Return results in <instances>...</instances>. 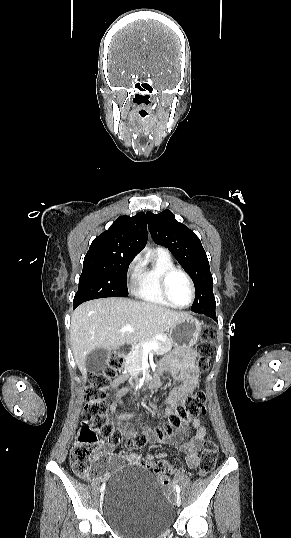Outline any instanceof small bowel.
Returning <instances> with one entry per match:
<instances>
[{"mask_svg":"<svg viewBox=\"0 0 291 538\" xmlns=\"http://www.w3.org/2000/svg\"><path fill=\"white\" fill-rule=\"evenodd\" d=\"M193 354L190 351H184L170 355L164 367L171 373L176 379L180 381V385L171 389L167 397L165 398V408L163 414L170 415L181 400L187 395L192 393L198 385V372L193 365ZM127 375H121L116 378L112 383V389H114L112 396V403L110 411L113 418L118 423V430L123 439L128 438L133 431V427L128 423L130 414L119 412V407L123 406V397L127 393L126 388H119V386L125 382ZM149 386L152 388H159L161 381L159 378H153L149 381ZM191 424L194 429V434L184 440L186 432L183 429L177 430L170 436H164L160 440L171 446H175L178 449L186 452L185 463L189 469H195L199 465V451L203 445L205 437V428L202 425L201 420L198 417L191 419ZM109 462L113 465H123L125 463L138 464L142 457L131 452L128 455L105 453L104 454ZM166 453L163 451L155 454H149L146 458L152 460L154 458H164ZM108 474H106L107 476Z\"/></svg>","mask_w":291,"mask_h":538,"instance_id":"1","label":"small bowel"}]
</instances>
